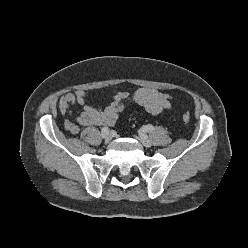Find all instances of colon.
<instances>
[{
  "instance_id": "obj_1",
  "label": "colon",
  "mask_w": 248,
  "mask_h": 248,
  "mask_svg": "<svg viewBox=\"0 0 248 248\" xmlns=\"http://www.w3.org/2000/svg\"><path fill=\"white\" fill-rule=\"evenodd\" d=\"M183 121H184V123H189V121H190V115H189V113L188 112H184L183 113Z\"/></svg>"
}]
</instances>
